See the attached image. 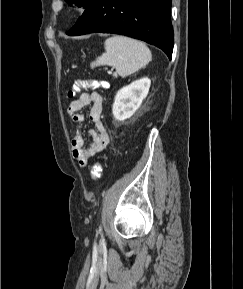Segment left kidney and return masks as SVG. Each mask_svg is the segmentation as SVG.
Instances as JSON below:
<instances>
[{
    "label": "left kidney",
    "mask_w": 243,
    "mask_h": 289,
    "mask_svg": "<svg viewBox=\"0 0 243 289\" xmlns=\"http://www.w3.org/2000/svg\"><path fill=\"white\" fill-rule=\"evenodd\" d=\"M150 84V79L142 78L120 89L115 96L112 107L114 118L118 121L130 118L146 98Z\"/></svg>",
    "instance_id": "obj_1"
}]
</instances>
